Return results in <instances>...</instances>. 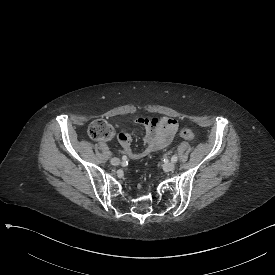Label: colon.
<instances>
[{
    "mask_svg": "<svg viewBox=\"0 0 275 275\" xmlns=\"http://www.w3.org/2000/svg\"><path fill=\"white\" fill-rule=\"evenodd\" d=\"M87 133L92 140H106L112 136L113 128L106 119L97 118L89 125ZM179 133L182 138L188 141L195 138L194 132L186 127L181 128Z\"/></svg>",
    "mask_w": 275,
    "mask_h": 275,
    "instance_id": "1",
    "label": "colon"
}]
</instances>
